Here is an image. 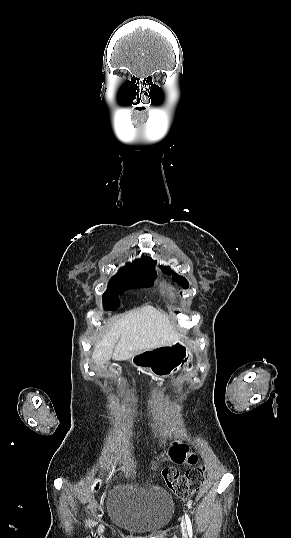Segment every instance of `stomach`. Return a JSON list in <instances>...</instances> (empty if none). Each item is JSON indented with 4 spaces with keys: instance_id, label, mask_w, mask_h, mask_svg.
Returning <instances> with one entry per match:
<instances>
[{
    "instance_id": "stomach-1",
    "label": "stomach",
    "mask_w": 291,
    "mask_h": 538,
    "mask_svg": "<svg viewBox=\"0 0 291 538\" xmlns=\"http://www.w3.org/2000/svg\"><path fill=\"white\" fill-rule=\"evenodd\" d=\"M191 358L187 344L178 339L171 345L143 350L132 355L130 362L137 368L149 369L160 379H165L177 373Z\"/></svg>"
}]
</instances>
